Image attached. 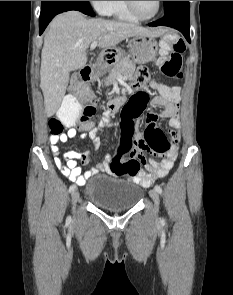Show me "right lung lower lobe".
Returning <instances> with one entry per match:
<instances>
[{
  "label": "right lung lower lobe",
  "mask_w": 233,
  "mask_h": 295,
  "mask_svg": "<svg viewBox=\"0 0 233 295\" xmlns=\"http://www.w3.org/2000/svg\"><path fill=\"white\" fill-rule=\"evenodd\" d=\"M70 10H77L89 16H95L88 1H42L39 34L43 33L54 16Z\"/></svg>",
  "instance_id": "right-lung-lower-lobe-1"
}]
</instances>
